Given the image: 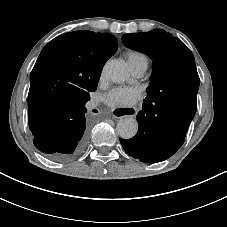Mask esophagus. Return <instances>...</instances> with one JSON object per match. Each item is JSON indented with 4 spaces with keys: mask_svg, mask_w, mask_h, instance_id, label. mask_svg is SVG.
<instances>
[{
    "mask_svg": "<svg viewBox=\"0 0 227 227\" xmlns=\"http://www.w3.org/2000/svg\"><path fill=\"white\" fill-rule=\"evenodd\" d=\"M135 109L134 108H132V107H130V108H118V109H116L115 110V112H114V114L116 115V116H118V117H130V116H132V115H134L135 114Z\"/></svg>",
    "mask_w": 227,
    "mask_h": 227,
    "instance_id": "34e87169",
    "label": "esophagus"
}]
</instances>
